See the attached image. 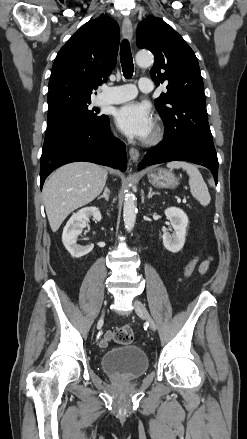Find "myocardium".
Segmentation results:
<instances>
[{
  "instance_id": "myocardium-1",
  "label": "myocardium",
  "mask_w": 247,
  "mask_h": 439,
  "mask_svg": "<svg viewBox=\"0 0 247 439\" xmlns=\"http://www.w3.org/2000/svg\"><path fill=\"white\" fill-rule=\"evenodd\" d=\"M164 135V130L161 125L156 124L151 136L147 139V144H156L162 140Z\"/></svg>"
}]
</instances>
